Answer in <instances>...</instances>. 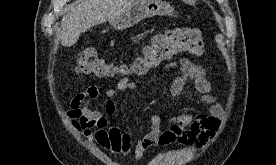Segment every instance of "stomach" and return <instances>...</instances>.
<instances>
[{"label": "stomach", "instance_id": "obj_1", "mask_svg": "<svg viewBox=\"0 0 276 165\" xmlns=\"http://www.w3.org/2000/svg\"><path fill=\"white\" fill-rule=\"evenodd\" d=\"M174 8L162 0H136L127 10L110 20L117 30H125L153 16L172 15Z\"/></svg>", "mask_w": 276, "mask_h": 165}]
</instances>
